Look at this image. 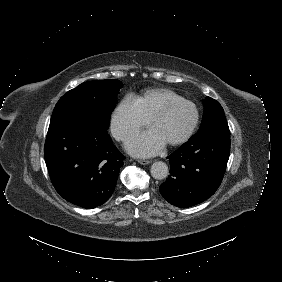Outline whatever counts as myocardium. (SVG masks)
I'll return each instance as SVG.
<instances>
[{"mask_svg": "<svg viewBox=\"0 0 282 282\" xmlns=\"http://www.w3.org/2000/svg\"><path fill=\"white\" fill-rule=\"evenodd\" d=\"M179 107H187L188 109H190V111L192 113V120H191L189 127L183 133V135H181L176 140L167 142V145H169V146H179V145L187 142L191 138V136L193 135V133H194V131H195V129H196L198 123H199V110L196 107V105L194 103L188 101V100H183V99L171 100L166 108L159 110V111H156L150 118V124L153 126L156 120L163 117L164 115H166L171 110H173L175 108H179Z\"/></svg>", "mask_w": 282, "mask_h": 282, "instance_id": "1", "label": "myocardium"}]
</instances>
